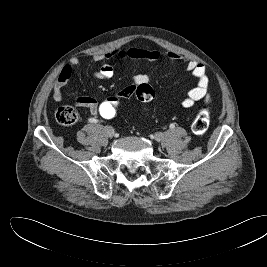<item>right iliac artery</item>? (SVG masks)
I'll return each instance as SVG.
<instances>
[{"mask_svg":"<svg viewBox=\"0 0 267 267\" xmlns=\"http://www.w3.org/2000/svg\"><path fill=\"white\" fill-rule=\"evenodd\" d=\"M90 122L97 123V122H98V120H97V119H95V118H91V119H90Z\"/></svg>","mask_w":267,"mask_h":267,"instance_id":"1","label":"right iliac artery"}]
</instances>
